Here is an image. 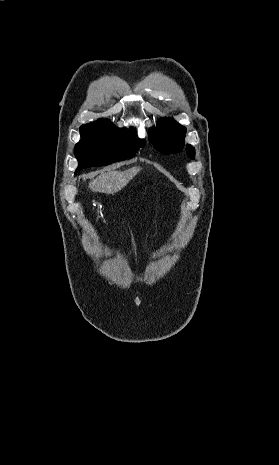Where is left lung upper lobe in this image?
I'll list each match as a JSON object with an SVG mask.
<instances>
[{"label": "left lung upper lobe", "mask_w": 279, "mask_h": 465, "mask_svg": "<svg viewBox=\"0 0 279 465\" xmlns=\"http://www.w3.org/2000/svg\"><path fill=\"white\" fill-rule=\"evenodd\" d=\"M185 134V127L171 119L164 118L158 122L156 128L150 129L149 140L162 153H177L184 147ZM186 150L189 157L194 159L195 149L187 145Z\"/></svg>", "instance_id": "obj_1"}]
</instances>
